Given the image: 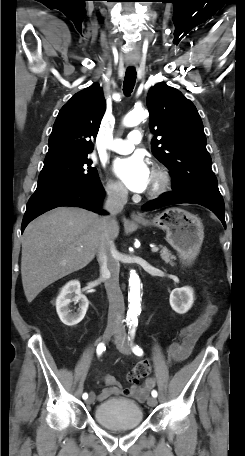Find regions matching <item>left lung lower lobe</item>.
Returning <instances> with one entry per match:
<instances>
[{
	"label": "left lung lower lobe",
	"mask_w": 245,
	"mask_h": 456,
	"mask_svg": "<svg viewBox=\"0 0 245 456\" xmlns=\"http://www.w3.org/2000/svg\"><path fill=\"white\" fill-rule=\"evenodd\" d=\"M180 203H195L210 209L221 220L224 227H226L224 218L225 207L221 195L211 193L171 191L166 192L159 198L146 203L142 206V209L149 211L160 207Z\"/></svg>",
	"instance_id": "0a47b994"
}]
</instances>
